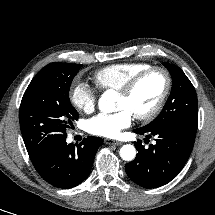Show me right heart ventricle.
Segmentation results:
<instances>
[{
  "label": "right heart ventricle",
  "instance_id": "obj_1",
  "mask_svg": "<svg viewBox=\"0 0 215 215\" xmlns=\"http://www.w3.org/2000/svg\"><path fill=\"white\" fill-rule=\"evenodd\" d=\"M149 67L150 64L142 62L108 65L95 72L94 81L101 89L119 91L132 77Z\"/></svg>",
  "mask_w": 215,
  "mask_h": 215
}]
</instances>
